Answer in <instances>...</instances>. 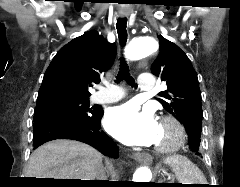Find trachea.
Instances as JSON below:
<instances>
[{"label": "trachea", "mask_w": 240, "mask_h": 187, "mask_svg": "<svg viewBox=\"0 0 240 187\" xmlns=\"http://www.w3.org/2000/svg\"><path fill=\"white\" fill-rule=\"evenodd\" d=\"M126 26H127L126 18H119L117 20L116 29H117V33H118V37L121 45H125L127 40ZM116 79H117L116 82H120L121 80L125 79L130 85L132 86L135 85L134 80L132 79V77H130L129 69L124 58H121L120 70Z\"/></svg>", "instance_id": "1"}]
</instances>
